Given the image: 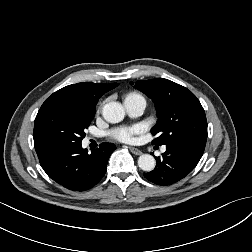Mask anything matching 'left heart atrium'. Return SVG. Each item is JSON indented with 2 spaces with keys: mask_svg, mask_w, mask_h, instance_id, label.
Wrapping results in <instances>:
<instances>
[{
  "mask_svg": "<svg viewBox=\"0 0 252 252\" xmlns=\"http://www.w3.org/2000/svg\"><path fill=\"white\" fill-rule=\"evenodd\" d=\"M142 131L140 126L120 127L111 132L113 138L118 141L131 143L135 139V135Z\"/></svg>",
  "mask_w": 252,
  "mask_h": 252,
  "instance_id": "39dd6f15",
  "label": "left heart atrium"
}]
</instances>
